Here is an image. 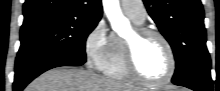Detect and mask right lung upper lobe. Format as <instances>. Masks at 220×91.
I'll return each instance as SVG.
<instances>
[{
  "label": "right lung upper lobe",
  "instance_id": "right-lung-upper-lobe-1",
  "mask_svg": "<svg viewBox=\"0 0 220 91\" xmlns=\"http://www.w3.org/2000/svg\"><path fill=\"white\" fill-rule=\"evenodd\" d=\"M24 23L54 16H75L100 20L101 0H26Z\"/></svg>",
  "mask_w": 220,
  "mask_h": 91
}]
</instances>
